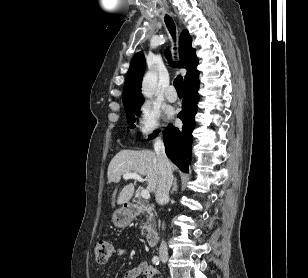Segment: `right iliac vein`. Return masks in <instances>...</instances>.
<instances>
[{"label": "right iliac vein", "instance_id": "63e3f726", "mask_svg": "<svg viewBox=\"0 0 308 278\" xmlns=\"http://www.w3.org/2000/svg\"><path fill=\"white\" fill-rule=\"evenodd\" d=\"M160 259L162 260V262L167 263L169 256L168 253L166 251H160L159 253Z\"/></svg>", "mask_w": 308, "mask_h": 278}]
</instances>
